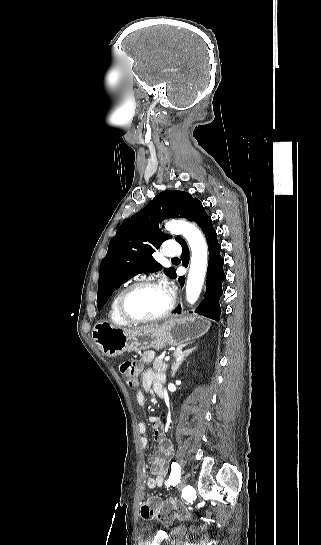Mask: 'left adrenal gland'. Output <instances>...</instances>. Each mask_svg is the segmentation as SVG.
Instances as JSON below:
<instances>
[{
  "label": "left adrenal gland",
  "instance_id": "1",
  "mask_svg": "<svg viewBox=\"0 0 321 545\" xmlns=\"http://www.w3.org/2000/svg\"><path fill=\"white\" fill-rule=\"evenodd\" d=\"M194 349H196V347H193V349H187V351H182V349H177V351H175L174 353V359H175V363H173L171 369H172V375L171 377H174L177 369H179L181 363H183V361H186V357H189L190 353H192V351H194Z\"/></svg>",
  "mask_w": 321,
  "mask_h": 545
}]
</instances>
